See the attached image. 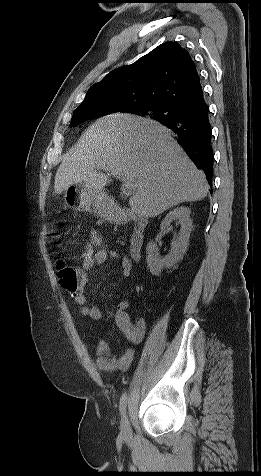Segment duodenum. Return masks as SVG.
Returning <instances> with one entry per match:
<instances>
[{"mask_svg": "<svg viewBox=\"0 0 261 476\" xmlns=\"http://www.w3.org/2000/svg\"><path fill=\"white\" fill-rule=\"evenodd\" d=\"M112 220L116 224L133 223V233L130 241V255L135 261H139L142 257L145 234L148 226V221L145 217L140 215H133L130 212L119 209L112 215Z\"/></svg>", "mask_w": 261, "mask_h": 476, "instance_id": "obj_1", "label": "duodenum"}]
</instances>
